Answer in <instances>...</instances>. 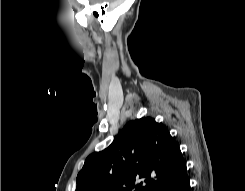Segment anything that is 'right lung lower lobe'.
<instances>
[{
  "label": "right lung lower lobe",
  "instance_id": "1",
  "mask_svg": "<svg viewBox=\"0 0 245 191\" xmlns=\"http://www.w3.org/2000/svg\"><path fill=\"white\" fill-rule=\"evenodd\" d=\"M154 191H191L186 166L173 177L163 181Z\"/></svg>",
  "mask_w": 245,
  "mask_h": 191
}]
</instances>
